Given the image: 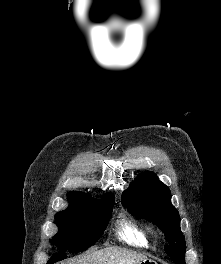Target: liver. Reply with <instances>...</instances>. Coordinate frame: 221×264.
I'll use <instances>...</instances> for the list:
<instances>
[{"instance_id":"obj_1","label":"liver","mask_w":221,"mask_h":264,"mask_svg":"<svg viewBox=\"0 0 221 264\" xmlns=\"http://www.w3.org/2000/svg\"><path fill=\"white\" fill-rule=\"evenodd\" d=\"M145 259H147L145 255L137 252L109 247L62 264H138Z\"/></svg>"}]
</instances>
